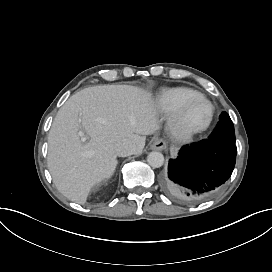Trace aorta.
Instances as JSON below:
<instances>
[{"label": "aorta", "instance_id": "obj_1", "mask_svg": "<svg viewBox=\"0 0 272 272\" xmlns=\"http://www.w3.org/2000/svg\"><path fill=\"white\" fill-rule=\"evenodd\" d=\"M147 162L154 168H160L164 164V156L160 152H151L147 157Z\"/></svg>", "mask_w": 272, "mask_h": 272}]
</instances>
